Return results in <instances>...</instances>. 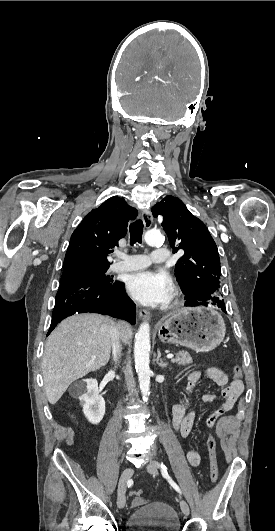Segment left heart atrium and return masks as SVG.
<instances>
[{"mask_svg": "<svg viewBox=\"0 0 275 531\" xmlns=\"http://www.w3.org/2000/svg\"><path fill=\"white\" fill-rule=\"evenodd\" d=\"M126 283L130 295L147 305L165 303L172 288L171 279L166 272L150 268L130 274Z\"/></svg>", "mask_w": 275, "mask_h": 531, "instance_id": "obj_1", "label": "left heart atrium"}]
</instances>
